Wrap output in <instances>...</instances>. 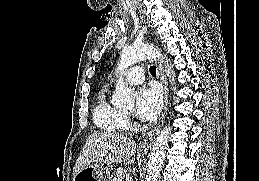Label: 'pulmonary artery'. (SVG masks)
<instances>
[{
	"mask_svg": "<svg viewBox=\"0 0 259 181\" xmlns=\"http://www.w3.org/2000/svg\"><path fill=\"white\" fill-rule=\"evenodd\" d=\"M143 80V72L140 69L133 70L126 78V82L129 84H140L143 82Z\"/></svg>",
	"mask_w": 259,
	"mask_h": 181,
	"instance_id": "e3ab8cb5",
	"label": "pulmonary artery"
}]
</instances>
